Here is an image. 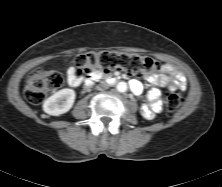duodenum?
<instances>
[{
	"label": "duodenum",
	"mask_w": 222,
	"mask_h": 187,
	"mask_svg": "<svg viewBox=\"0 0 222 187\" xmlns=\"http://www.w3.org/2000/svg\"><path fill=\"white\" fill-rule=\"evenodd\" d=\"M98 79H103L104 81L108 83H115L118 81V77L114 75H101V74H96L93 75L92 77L89 78L88 84H91L92 82L98 80Z\"/></svg>",
	"instance_id": "410a0bca"
}]
</instances>
